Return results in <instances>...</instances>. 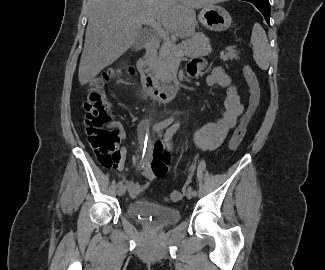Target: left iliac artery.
I'll use <instances>...</instances> for the list:
<instances>
[{"label": "left iliac artery", "mask_w": 325, "mask_h": 270, "mask_svg": "<svg viewBox=\"0 0 325 270\" xmlns=\"http://www.w3.org/2000/svg\"><path fill=\"white\" fill-rule=\"evenodd\" d=\"M178 127H179V125L175 124V125L171 126L165 133L164 141H165L166 146L170 149H172V137H173L174 133L177 131ZM193 194H194V196H196L197 191L193 190Z\"/></svg>", "instance_id": "left-iliac-artery-1"}]
</instances>
